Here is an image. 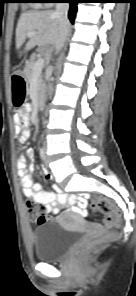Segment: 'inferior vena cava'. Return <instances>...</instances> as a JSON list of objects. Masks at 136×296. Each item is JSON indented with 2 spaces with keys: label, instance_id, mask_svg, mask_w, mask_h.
<instances>
[{
  "label": "inferior vena cava",
  "instance_id": "inferior-vena-cava-1",
  "mask_svg": "<svg viewBox=\"0 0 136 296\" xmlns=\"http://www.w3.org/2000/svg\"><path fill=\"white\" fill-rule=\"evenodd\" d=\"M69 3H57L55 15L61 20L62 28L59 38L55 44L56 52L60 51L64 45L69 32V20H68ZM52 67H49L46 71V76H50Z\"/></svg>",
  "mask_w": 136,
  "mask_h": 296
}]
</instances>
